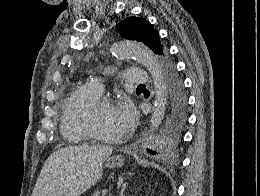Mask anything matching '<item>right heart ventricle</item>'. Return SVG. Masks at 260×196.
<instances>
[{
	"label": "right heart ventricle",
	"instance_id": "obj_1",
	"mask_svg": "<svg viewBox=\"0 0 260 196\" xmlns=\"http://www.w3.org/2000/svg\"><path fill=\"white\" fill-rule=\"evenodd\" d=\"M100 97L94 86H79L68 100L61 121V133L70 145L88 142L93 136L82 126L85 113L90 105ZM58 192V190H51Z\"/></svg>",
	"mask_w": 260,
	"mask_h": 196
}]
</instances>
